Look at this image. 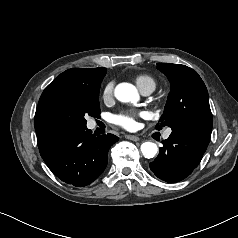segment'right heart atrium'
Segmentation results:
<instances>
[{
  "label": "right heart atrium",
  "instance_id": "obj_1",
  "mask_svg": "<svg viewBox=\"0 0 238 238\" xmlns=\"http://www.w3.org/2000/svg\"><path fill=\"white\" fill-rule=\"evenodd\" d=\"M114 86H115L114 81H109L104 85L101 92V97L105 102L112 100L114 95Z\"/></svg>",
  "mask_w": 238,
  "mask_h": 238
}]
</instances>
